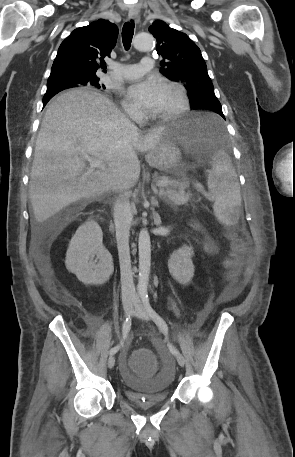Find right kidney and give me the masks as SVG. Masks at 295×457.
<instances>
[{"label":"right kidney","mask_w":295,"mask_h":457,"mask_svg":"<svg viewBox=\"0 0 295 457\" xmlns=\"http://www.w3.org/2000/svg\"><path fill=\"white\" fill-rule=\"evenodd\" d=\"M103 233L95 221L82 224L72 237L65 265L85 285H102L114 271L112 256L102 243ZM99 259L94 260V257Z\"/></svg>","instance_id":"right-kidney-1"}]
</instances>
